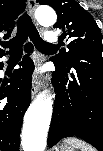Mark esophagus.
Masks as SVG:
<instances>
[{
	"instance_id": "obj_1",
	"label": "esophagus",
	"mask_w": 103,
	"mask_h": 151,
	"mask_svg": "<svg viewBox=\"0 0 103 151\" xmlns=\"http://www.w3.org/2000/svg\"><path fill=\"white\" fill-rule=\"evenodd\" d=\"M36 6H37L36 0H28V10L32 18L34 16V11L36 9ZM42 62H43V57L37 54L34 59L35 72L32 78V98H34L37 95V93L41 88V79L38 76V70Z\"/></svg>"
}]
</instances>
